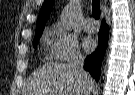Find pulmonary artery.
<instances>
[{
    "instance_id": "e3ab8cb5",
    "label": "pulmonary artery",
    "mask_w": 135,
    "mask_h": 95,
    "mask_svg": "<svg viewBox=\"0 0 135 95\" xmlns=\"http://www.w3.org/2000/svg\"><path fill=\"white\" fill-rule=\"evenodd\" d=\"M84 30L89 33H92L96 30L95 24L91 18L85 19Z\"/></svg>"
}]
</instances>
